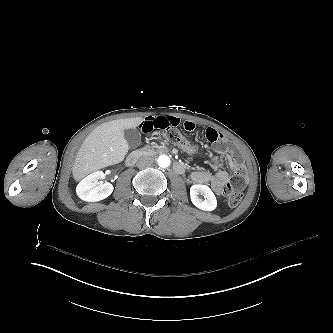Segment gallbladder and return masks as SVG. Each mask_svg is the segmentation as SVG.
Listing matches in <instances>:
<instances>
[{"mask_svg":"<svg viewBox=\"0 0 333 333\" xmlns=\"http://www.w3.org/2000/svg\"><path fill=\"white\" fill-rule=\"evenodd\" d=\"M124 137L131 149L137 148L141 143V134L137 129H126Z\"/></svg>","mask_w":333,"mask_h":333,"instance_id":"bac80fb5","label":"gallbladder"}]
</instances>
